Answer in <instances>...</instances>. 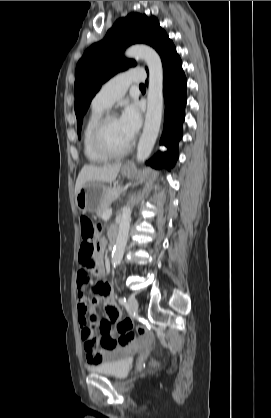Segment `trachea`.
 <instances>
[{"label":"trachea","mask_w":271,"mask_h":418,"mask_svg":"<svg viewBox=\"0 0 271 418\" xmlns=\"http://www.w3.org/2000/svg\"><path fill=\"white\" fill-rule=\"evenodd\" d=\"M140 88H145V85H144V84H141V85H140Z\"/></svg>","instance_id":"obj_1"}]
</instances>
